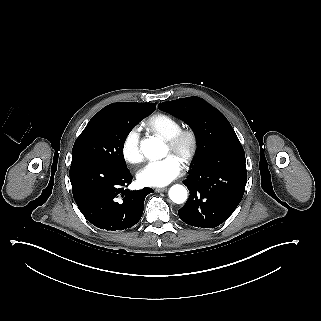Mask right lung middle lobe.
Segmentation results:
<instances>
[{
  "mask_svg": "<svg viewBox=\"0 0 321 321\" xmlns=\"http://www.w3.org/2000/svg\"><path fill=\"white\" fill-rule=\"evenodd\" d=\"M149 114L134 118L116 116L103 108L88 122L74 143L72 162L92 161L125 169L124 142L130 131Z\"/></svg>",
  "mask_w": 321,
  "mask_h": 321,
  "instance_id": "dd1d6c3e",
  "label": "right lung middle lobe"
}]
</instances>
